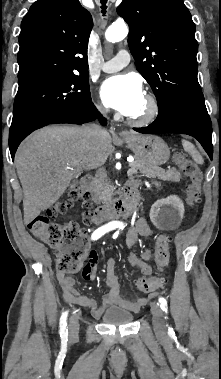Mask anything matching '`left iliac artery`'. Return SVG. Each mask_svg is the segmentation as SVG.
I'll return each mask as SVG.
<instances>
[{
    "instance_id": "left-iliac-artery-1",
    "label": "left iliac artery",
    "mask_w": 221,
    "mask_h": 379,
    "mask_svg": "<svg viewBox=\"0 0 221 379\" xmlns=\"http://www.w3.org/2000/svg\"><path fill=\"white\" fill-rule=\"evenodd\" d=\"M118 233H119V232H116V233L114 234V238H116V237L118 236ZM158 302H159V304H160L161 309H162L164 312L167 313V311H168V305H167V301H166V299H165L164 297H160V298L158 299Z\"/></svg>"
}]
</instances>
